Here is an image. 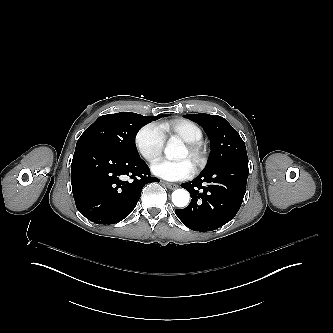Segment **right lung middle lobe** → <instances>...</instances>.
<instances>
[{"mask_svg":"<svg viewBox=\"0 0 333 333\" xmlns=\"http://www.w3.org/2000/svg\"><path fill=\"white\" fill-rule=\"evenodd\" d=\"M165 116L168 115L150 117L131 112L103 115L83 132L77 144L98 143L117 155L140 158L135 145L138 131L144 125Z\"/></svg>","mask_w":333,"mask_h":333,"instance_id":"dd1d6c3e","label":"right lung middle lobe"}]
</instances>
